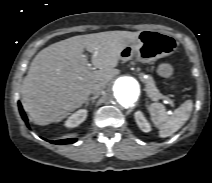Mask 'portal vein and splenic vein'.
Returning a JSON list of instances; mask_svg holds the SVG:
<instances>
[{
    "label": "portal vein and splenic vein",
    "instance_id": "1",
    "mask_svg": "<svg viewBox=\"0 0 212 183\" xmlns=\"http://www.w3.org/2000/svg\"><path fill=\"white\" fill-rule=\"evenodd\" d=\"M160 99H163L164 103L169 104L171 108H174V103L167 97V96H161ZM171 110L168 111L169 114H171Z\"/></svg>",
    "mask_w": 212,
    "mask_h": 183
}]
</instances>
